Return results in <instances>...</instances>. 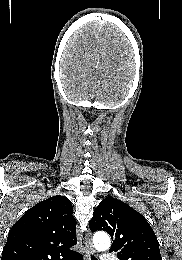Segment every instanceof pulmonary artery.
<instances>
[{
	"label": "pulmonary artery",
	"mask_w": 182,
	"mask_h": 260,
	"mask_svg": "<svg viewBox=\"0 0 182 260\" xmlns=\"http://www.w3.org/2000/svg\"><path fill=\"white\" fill-rule=\"evenodd\" d=\"M101 260H118V259L114 255L107 253L102 255Z\"/></svg>",
	"instance_id": "e3ab8cb5"
}]
</instances>
